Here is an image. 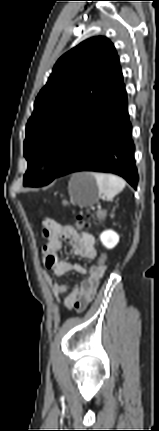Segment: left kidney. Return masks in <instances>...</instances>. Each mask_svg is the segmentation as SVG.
Here are the masks:
<instances>
[{
	"instance_id": "left-kidney-1",
	"label": "left kidney",
	"mask_w": 159,
	"mask_h": 431,
	"mask_svg": "<svg viewBox=\"0 0 159 431\" xmlns=\"http://www.w3.org/2000/svg\"><path fill=\"white\" fill-rule=\"evenodd\" d=\"M100 240L107 249H112L119 242V236L113 230H106L100 235Z\"/></svg>"
}]
</instances>
